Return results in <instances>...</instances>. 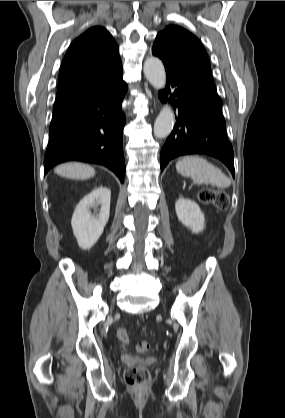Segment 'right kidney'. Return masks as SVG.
<instances>
[{
    "mask_svg": "<svg viewBox=\"0 0 285 418\" xmlns=\"http://www.w3.org/2000/svg\"><path fill=\"white\" fill-rule=\"evenodd\" d=\"M111 191L107 187H98L85 196L77 205L71 220L74 236L81 249L93 247L103 233L109 220ZM100 206L95 217L90 208Z\"/></svg>",
    "mask_w": 285,
    "mask_h": 418,
    "instance_id": "ca27d5eb",
    "label": "right kidney"
}]
</instances>
